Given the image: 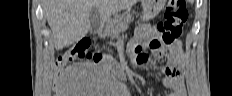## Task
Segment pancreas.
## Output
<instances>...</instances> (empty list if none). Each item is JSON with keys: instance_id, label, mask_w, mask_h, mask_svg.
<instances>
[{"instance_id": "cf45deb5", "label": "pancreas", "mask_w": 232, "mask_h": 96, "mask_svg": "<svg viewBox=\"0 0 232 96\" xmlns=\"http://www.w3.org/2000/svg\"><path fill=\"white\" fill-rule=\"evenodd\" d=\"M133 20L129 11L122 13L119 16H114L113 19L107 22L106 31L111 38H117L119 34L127 29L128 23Z\"/></svg>"}]
</instances>
